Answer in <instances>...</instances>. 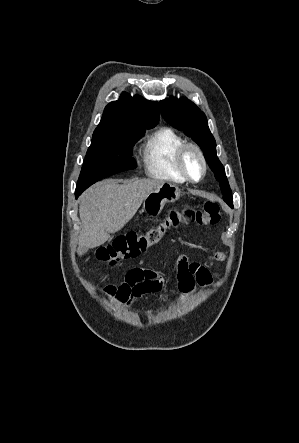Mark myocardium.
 Segmentation results:
<instances>
[{"label":"myocardium","instance_id":"myocardium-1","mask_svg":"<svg viewBox=\"0 0 299 443\" xmlns=\"http://www.w3.org/2000/svg\"><path fill=\"white\" fill-rule=\"evenodd\" d=\"M190 152L195 153L201 163V173L197 178L191 176L186 166V158ZM177 167L186 181L192 183L200 182L207 173V161L202 149L195 143H185L177 153Z\"/></svg>","mask_w":299,"mask_h":443}]
</instances>
